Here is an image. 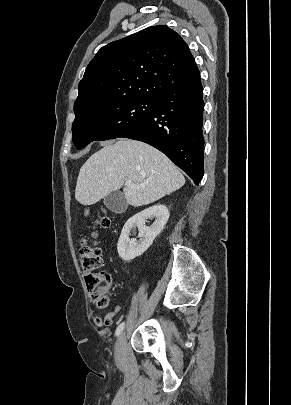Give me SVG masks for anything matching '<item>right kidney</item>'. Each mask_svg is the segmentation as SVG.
<instances>
[{"label":"right kidney","mask_w":291,"mask_h":405,"mask_svg":"<svg viewBox=\"0 0 291 405\" xmlns=\"http://www.w3.org/2000/svg\"><path fill=\"white\" fill-rule=\"evenodd\" d=\"M154 218L151 227H147V219ZM169 218V211L165 205L157 204L149 207L136 215L132 216L124 225L120 238L117 243V250L120 258L124 261H130L142 255L153 243L155 237L163 230ZM135 227L139 230L138 237L130 240V231Z\"/></svg>","instance_id":"right-kidney-1"}]
</instances>
